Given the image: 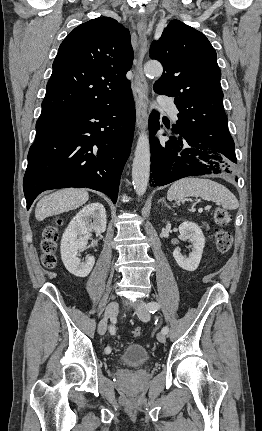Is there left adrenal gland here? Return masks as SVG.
<instances>
[{
  "label": "left adrenal gland",
  "mask_w": 262,
  "mask_h": 431,
  "mask_svg": "<svg viewBox=\"0 0 262 431\" xmlns=\"http://www.w3.org/2000/svg\"><path fill=\"white\" fill-rule=\"evenodd\" d=\"M159 202H163L165 204V206H167L168 208H170V206L167 204L166 200L164 198H162Z\"/></svg>",
  "instance_id": "1"
}]
</instances>
